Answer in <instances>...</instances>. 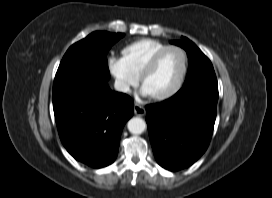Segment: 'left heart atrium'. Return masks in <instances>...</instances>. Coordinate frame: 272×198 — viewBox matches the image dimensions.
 Listing matches in <instances>:
<instances>
[{"mask_svg": "<svg viewBox=\"0 0 272 198\" xmlns=\"http://www.w3.org/2000/svg\"><path fill=\"white\" fill-rule=\"evenodd\" d=\"M140 94H141L142 96H144V97L149 96V94L147 93V91H146L143 87H141V89H140Z\"/></svg>", "mask_w": 272, "mask_h": 198, "instance_id": "39dd6f15", "label": "left heart atrium"}]
</instances>
